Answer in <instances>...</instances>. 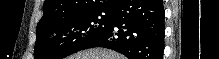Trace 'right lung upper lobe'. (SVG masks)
<instances>
[{
    "instance_id": "obj_1",
    "label": "right lung upper lobe",
    "mask_w": 219,
    "mask_h": 59,
    "mask_svg": "<svg viewBox=\"0 0 219 59\" xmlns=\"http://www.w3.org/2000/svg\"><path fill=\"white\" fill-rule=\"evenodd\" d=\"M116 0H45L43 17L37 26L75 15L111 11Z\"/></svg>"
}]
</instances>
